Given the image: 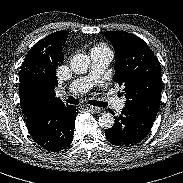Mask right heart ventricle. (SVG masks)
<instances>
[{
  "instance_id": "1",
  "label": "right heart ventricle",
  "mask_w": 183,
  "mask_h": 183,
  "mask_svg": "<svg viewBox=\"0 0 183 183\" xmlns=\"http://www.w3.org/2000/svg\"><path fill=\"white\" fill-rule=\"evenodd\" d=\"M94 49H97V50H108L109 51V49L106 46H104V45H100L98 47H95Z\"/></svg>"
}]
</instances>
